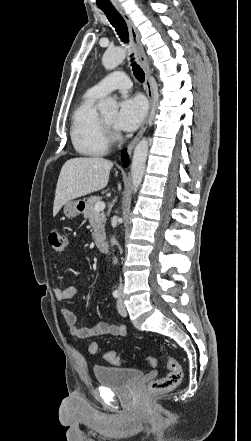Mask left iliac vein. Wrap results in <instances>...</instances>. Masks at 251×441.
Returning <instances> with one entry per match:
<instances>
[{
	"mask_svg": "<svg viewBox=\"0 0 251 441\" xmlns=\"http://www.w3.org/2000/svg\"><path fill=\"white\" fill-rule=\"evenodd\" d=\"M117 308H118V311H119L121 316H123V317L127 316V310H126V307H125V305L123 303V295H122V293L120 294V297H119V299L117 301Z\"/></svg>",
	"mask_w": 251,
	"mask_h": 441,
	"instance_id": "left-iliac-vein-1",
	"label": "left iliac vein"
}]
</instances>
